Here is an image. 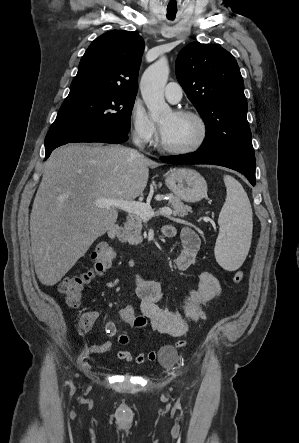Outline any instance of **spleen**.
Segmentation results:
<instances>
[{"mask_svg": "<svg viewBox=\"0 0 299 443\" xmlns=\"http://www.w3.org/2000/svg\"><path fill=\"white\" fill-rule=\"evenodd\" d=\"M226 199L219 214L215 258L225 270H237L246 259L252 237V208L242 185L225 175Z\"/></svg>", "mask_w": 299, "mask_h": 443, "instance_id": "1", "label": "spleen"}]
</instances>
